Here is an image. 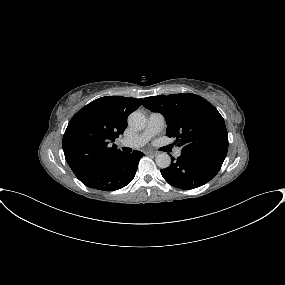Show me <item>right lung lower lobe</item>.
<instances>
[{"label":"right lung lower lobe","instance_id":"1","mask_svg":"<svg viewBox=\"0 0 285 285\" xmlns=\"http://www.w3.org/2000/svg\"><path fill=\"white\" fill-rule=\"evenodd\" d=\"M139 151L122 152L110 160L93 167L77 178L87 187L102 191H114L128 185L135 177L140 158Z\"/></svg>","mask_w":285,"mask_h":285}]
</instances>
